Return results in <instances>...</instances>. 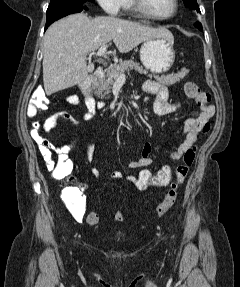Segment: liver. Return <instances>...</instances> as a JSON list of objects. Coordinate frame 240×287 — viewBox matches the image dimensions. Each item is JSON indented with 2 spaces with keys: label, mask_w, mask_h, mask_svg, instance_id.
I'll return each instance as SVG.
<instances>
[{
  "label": "liver",
  "mask_w": 240,
  "mask_h": 287,
  "mask_svg": "<svg viewBox=\"0 0 240 287\" xmlns=\"http://www.w3.org/2000/svg\"><path fill=\"white\" fill-rule=\"evenodd\" d=\"M173 38L164 28H153L111 16L90 19L83 13L53 23L44 36L43 83L47 96L84 81L89 69L86 56L113 40L127 53L148 39Z\"/></svg>",
  "instance_id": "1"
}]
</instances>
